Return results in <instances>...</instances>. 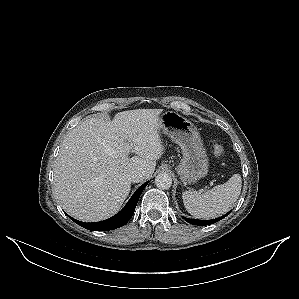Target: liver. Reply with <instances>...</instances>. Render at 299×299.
I'll return each mask as SVG.
<instances>
[{
  "label": "liver",
  "instance_id": "obj_1",
  "mask_svg": "<svg viewBox=\"0 0 299 299\" xmlns=\"http://www.w3.org/2000/svg\"><path fill=\"white\" fill-rule=\"evenodd\" d=\"M162 109L91 117L64 138L54 168V194L72 217L96 222L116 214L131 190L130 172L154 173L164 151L159 136ZM136 155L132 158L129 154Z\"/></svg>",
  "mask_w": 299,
  "mask_h": 299
}]
</instances>
